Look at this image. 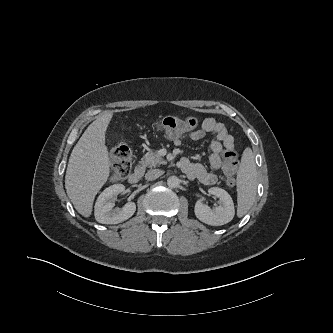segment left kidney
Wrapping results in <instances>:
<instances>
[{
  "label": "left kidney",
  "mask_w": 333,
  "mask_h": 333,
  "mask_svg": "<svg viewBox=\"0 0 333 333\" xmlns=\"http://www.w3.org/2000/svg\"><path fill=\"white\" fill-rule=\"evenodd\" d=\"M210 195H215L220 200V205L212 210L202 200H198L195 204L196 217L205 224L212 226H220L229 223L235 214L234 203L231 196L218 187H212L208 190Z\"/></svg>",
  "instance_id": "1"
}]
</instances>
